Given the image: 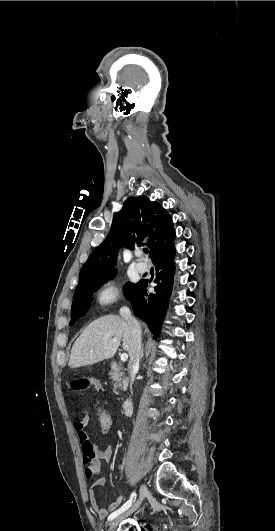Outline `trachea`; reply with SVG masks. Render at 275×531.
<instances>
[{"label":"trachea","mask_w":275,"mask_h":531,"mask_svg":"<svg viewBox=\"0 0 275 531\" xmlns=\"http://www.w3.org/2000/svg\"><path fill=\"white\" fill-rule=\"evenodd\" d=\"M143 251H144V253H148V249L147 248H145Z\"/></svg>","instance_id":"1"}]
</instances>
